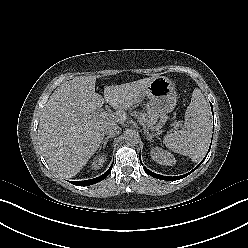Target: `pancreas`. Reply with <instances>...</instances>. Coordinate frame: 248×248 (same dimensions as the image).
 Listing matches in <instances>:
<instances>
[{
    "label": "pancreas",
    "instance_id": "1",
    "mask_svg": "<svg viewBox=\"0 0 248 248\" xmlns=\"http://www.w3.org/2000/svg\"><path fill=\"white\" fill-rule=\"evenodd\" d=\"M134 115L137 117H140V119L143 121V122H148V125L151 126V123L147 117V115L145 113H138V112H134Z\"/></svg>",
    "mask_w": 248,
    "mask_h": 248
}]
</instances>
